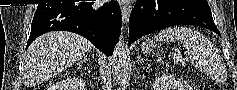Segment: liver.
Listing matches in <instances>:
<instances>
[{
	"label": "liver",
	"mask_w": 237,
	"mask_h": 90,
	"mask_svg": "<svg viewBox=\"0 0 237 90\" xmlns=\"http://www.w3.org/2000/svg\"><path fill=\"white\" fill-rule=\"evenodd\" d=\"M94 48L72 32H48L32 42L25 54L26 86H36L76 64Z\"/></svg>",
	"instance_id": "obj_1"
}]
</instances>
